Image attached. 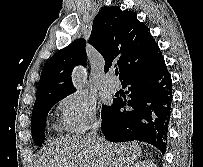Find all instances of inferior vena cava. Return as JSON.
<instances>
[{"instance_id": "inferior-vena-cava-1", "label": "inferior vena cava", "mask_w": 203, "mask_h": 167, "mask_svg": "<svg viewBox=\"0 0 203 167\" xmlns=\"http://www.w3.org/2000/svg\"><path fill=\"white\" fill-rule=\"evenodd\" d=\"M98 128H99V124H97L95 126L94 130L91 133H89V135H88V137L90 139H92L94 142H97V140H98V136H97V129Z\"/></svg>"}]
</instances>
